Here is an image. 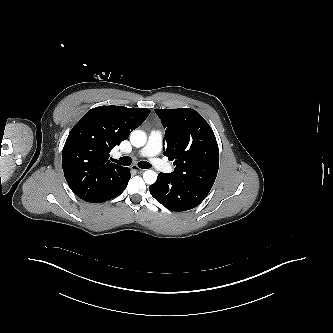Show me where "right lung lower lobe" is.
I'll list each match as a JSON object with an SVG mask.
<instances>
[{
	"mask_svg": "<svg viewBox=\"0 0 333 333\" xmlns=\"http://www.w3.org/2000/svg\"><path fill=\"white\" fill-rule=\"evenodd\" d=\"M130 177H131L130 169L127 168L124 171V178H123L122 183L118 187H116L114 190H111V191L107 192L106 194L100 196L93 203H102V202L108 201V200H110L112 198H115L118 195H120L124 191V189L126 188Z\"/></svg>",
	"mask_w": 333,
	"mask_h": 333,
	"instance_id": "1",
	"label": "right lung lower lobe"
}]
</instances>
